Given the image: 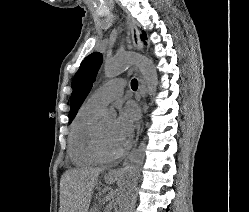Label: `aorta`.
<instances>
[{"label":"aorta","instance_id":"762f6f07","mask_svg":"<svg viewBox=\"0 0 249 212\" xmlns=\"http://www.w3.org/2000/svg\"><path fill=\"white\" fill-rule=\"evenodd\" d=\"M137 66L146 82L148 94L152 97L156 93L157 71L152 60L138 53L126 52L121 53L112 59L106 61L104 72L107 78H113L131 66ZM107 116H115L113 110L106 111ZM146 144L144 140L139 147L133 152L129 163L123 170L120 190L118 196V212H130V208L135 197L137 180L142 169L145 158Z\"/></svg>","mask_w":249,"mask_h":212}]
</instances>
